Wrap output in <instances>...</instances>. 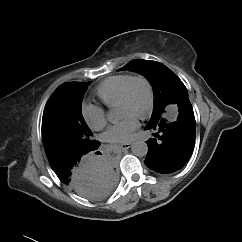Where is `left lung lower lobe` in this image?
Returning a JSON list of instances; mask_svg holds the SVG:
<instances>
[{
  "instance_id": "obj_1",
  "label": "left lung lower lobe",
  "mask_w": 242,
  "mask_h": 242,
  "mask_svg": "<svg viewBox=\"0 0 242 242\" xmlns=\"http://www.w3.org/2000/svg\"><path fill=\"white\" fill-rule=\"evenodd\" d=\"M177 119L168 121L161 115L152 119L146 129L155 131L149 139L148 154L144 163L158 173L180 170L190 158L195 142L196 122L189 98L177 103Z\"/></svg>"
}]
</instances>
